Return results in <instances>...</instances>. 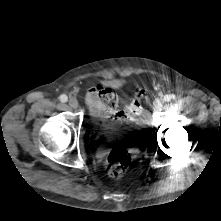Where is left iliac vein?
Segmentation results:
<instances>
[{
  "label": "left iliac vein",
  "instance_id": "obj_1",
  "mask_svg": "<svg viewBox=\"0 0 221 221\" xmlns=\"http://www.w3.org/2000/svg\"><path fill=\"white\" fill-rule=\"evenodd\" d=\"M162 107H163V102H162V100L157 99V100L154 102V104H153V109L156 110V111L161 110Z\"/></svg>",
  "mask_w": 221,
  "mask_h": 221
}]
</instances>
